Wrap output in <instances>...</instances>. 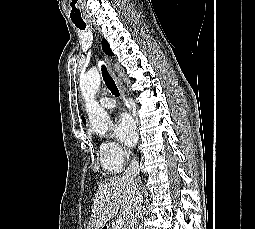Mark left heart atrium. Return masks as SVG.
Wrapping results in <instances>:
<instances>
[{
  "label": "left heart atrium",
  "instance_id": "left-heart-atrium-1",
  "mask_svg": "<svg viewBox=\"0 0 255 229\" xmlns=\"http://www.w3.org/2000/svg\"><path fill=\"white\" fill-rule=\"evenodd\" d=\"M114 132L117 138L126 146L132 147L137 140L136 126L127 115H120L115 122Z\"/></svg>",
  "mask_w": 255,
  "mask_h": 229
}]
</instances>
